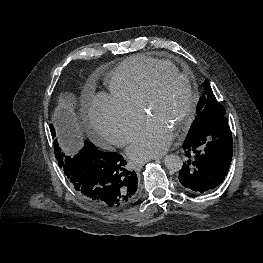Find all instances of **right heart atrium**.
Returning <instances> with one entry per match:
<instances>
[{
    "instance_id": "d8ad5b80",
    "label": "right heart atrium",
    "mask_w": 263,
    "mask_h": 263,
    "mask_svg": "<svg viewBox=\"0 0 263 263\" xmlns=\"http://www.w3.org/2000/svg\"><path fill=\"white\" fill-rule=\"evenodd\" d=\"M94 134L111 144L125 145L141 120L139 108L127 105L108 93H99L88 106Z\"/></svg>"
}]
</instances>
